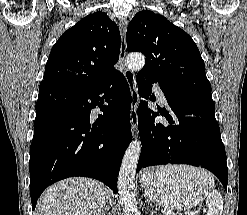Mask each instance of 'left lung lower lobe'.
Listing matches in <instances>:
<instances>
[{"label":"left lung lower lobe","instance_id":"1","mask_svg":"<svg viewBox=\"0 0 247 215\" xmlns=\"http://www.w3.org/2000/svg\"><path fill=\"white\" fill-rule=\"evenodd\" d=\"M139 95L149 99L152 83H159L174 118L160 112L170 124L156 120L158 112L138 109V125L142 150L137 172L142 167L159 164H189L203 167L215 174L227 190L228 168L219 125L215 119L212 98L181 92L168 87L143 72L137 74Z\"/></svg>","mask_w":247,"mask_h":215}]
</instances>
